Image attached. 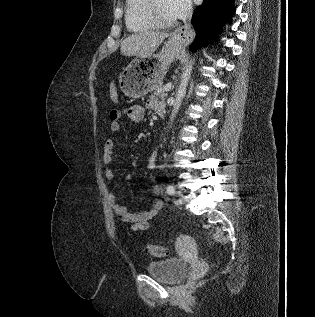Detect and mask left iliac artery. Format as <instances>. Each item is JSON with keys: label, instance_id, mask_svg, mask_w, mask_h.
<instances>
[{"label": "left iliac artery", "instance_id": "1", "mask_svg": "<svg viewBox=\"0 0 315 317\" xmlns=\"http://www.w3.org/2000/svg\"><path fill=\"white\" fill-rule=\"evenodd\" d=\"M166 191H167L168 194L172 195L175 192V188L172 185H168L167 188H166Z\"/></svg>", "mask_w": 315, "mask_h": 317}]
</instances>
